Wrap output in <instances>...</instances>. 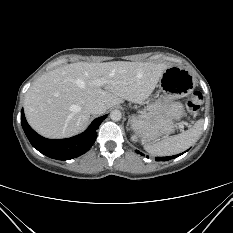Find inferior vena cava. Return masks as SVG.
<instances>
[{
	"label": "inferior vena cava",
	"mask_w": 233,
	"mask_h": 233,
	"mask_svg": "<svg viewBox=\"0 0 233 233\" xmlns=\"http://www.w3.org/2000/svg\"><path fill=\"white\" fill-rule=\"evenodd\" d=\"M86 110L93 115H100L105 113V111L107 110V107L105 106L104 103L97 101V100H92L89 101L86 104Z\"/></svg>",
	"instance_id": "inferior-vena-cava-1"
}]
</instances>
